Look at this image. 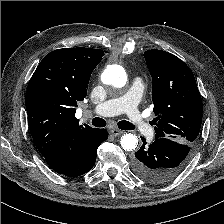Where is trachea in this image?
I'll use <instances>...</instances> for the list:
<instances>
[{
	"label": "trachea",
	"mask_w": 224,
	"mask_h": 224,
	"mask_svg": "<svg viewBox=\"0 0 224 224\" xmlns=\"http://www.w3.org/2000/svg\"><path fill=\"white\" fill-rule=\"evenodd\" d=\"M91 123H92V125H94L96 127H105L106 126V121L99 117H95L94 119H92ZM118 127L122 130H133L134 129L133 125L126 120L119 121Z\"/></svg>",
	"instance_id": "3493384b"
}]
</instances>
